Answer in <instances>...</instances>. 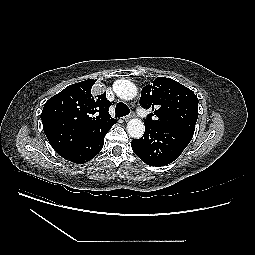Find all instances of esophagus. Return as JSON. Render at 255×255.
I'll return each mask as SVG.
<instances>
[{"label":"esophagus","instance_id":"esophagus-1","mask_svg":"<svg viewBox=\"0 0 255 255\" xmlns=\"http://www.w3.org/2000/svg\"><path fill=\"white\" fill-rule=\"evenodd\" d=\"M132 117H133V115L130 114V115L124 116V117H123V120L128 121V120L131 119Z\"/></svg>","mask_w":255,"mask_h":255}]
</instances>
